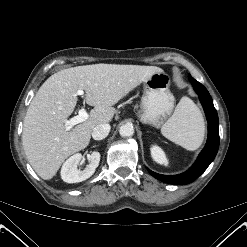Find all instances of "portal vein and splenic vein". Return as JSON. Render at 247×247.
Segmentation results:
<instances>
[{
  "label": "portal vein and splenic vein",
  "mask_w": 247,
  "mask_h": 247,
  "mask_svg": "<svg viewBox=\"0 0 247 247\" xmlns=\"http://www.w3.org/2000/svg\"><path fill=\"white\" fill-rule=\"evenodd\" d=\"M84 94V91L83 90H78L77 91V95H83ZM89 117L88 113L86 112L85 108H81L78 112V115L70 118L69 120H65L64 123H65V126H66V130L67 131H70L72 130V128L79 124V123H82L84 122L85 120H87Z\"/></svg>",
  "instance_id": "18ae733b"
}]
</instances>
